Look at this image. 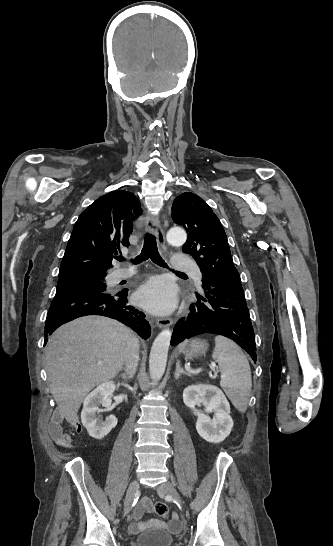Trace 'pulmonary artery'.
Segmentation results:
<instances>
[{"label": "pulmonary artery", "instance_id": "e3ab8cb5", "mask_svg": "<svg viewBox=\"0 0 333 546\" xmlns=\"http://www.w3.org/2000/svg\"><path fill=\"white\" fill-rule=\"evenodd\" d=\"M173 267L181 271H192L194 277L197 280L201 279L200 271L195 267L194 262L185 255H178L173 260ZM135 273V269L131 268H117L112 272L111 278L113 281H120L128 278Z\"/></svg>", "mask_w": 333, "mask_h": 546}]
</instances>
